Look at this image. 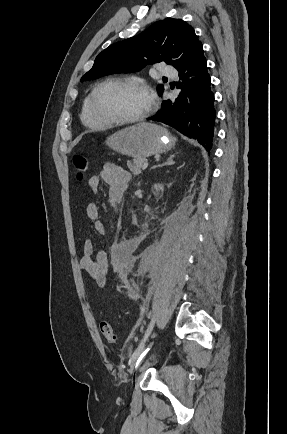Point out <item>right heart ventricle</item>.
<instances>
[{
    "mask_svg": "<svg viewBox=\"0 0 287 434\" xmlns=\"http://www.w3.org/2000/svg\"><path fill=\"white\" fill-rule=\"evenodd\" d=\"M89 96H90V94H88L85 97V99L83 100V103L81 106V113H80L81 120L85 125H87L89 127H101L103 125L99 121L94 119L92 117V115L90 114L89 106H88Z\"/></svg>",
    "mask_w": 287,
    "mask_h": 434,
    "instance_id": "right-heart-ventricle-1",
    "label": "right heart ventricle"
}]
</instances>
